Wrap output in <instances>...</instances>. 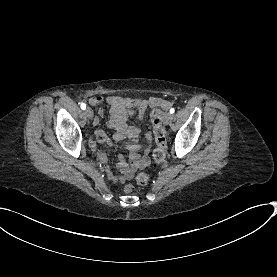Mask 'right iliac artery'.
<instances>
[{
  "mask_svg": "<svg viewBox=\"0 0 277 277\" xmlns=\"http://www.w3.org/2000/svg\"><path fill=\"white\" fill-rule=\"evenodd\" d=\"M80 107H81L82 110H85L86 109V104L85 103H81Z\"/></svg>",
  "mask_w": 277,
  "mask_h": 277,
  "instance_id": "82829eb1",
  "label": "right iliac artery"
}]
</instances>
